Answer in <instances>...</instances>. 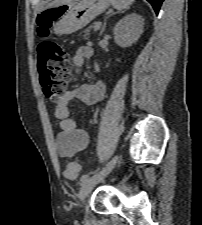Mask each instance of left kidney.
Returning <instances> with one entry per match:
<instances>
[{
    "instance_id": "5707ae66",
    "label": "left kidney",
    "mask_w": 202,
    "mask_h": 225,
    "mask_svg": "<svg viewBox=\"0 0 202 225\" xmlns=\"http://www.w3.org/2000/svg\"><path fill=\"white\" fill-rule=\"evenodd\" d=\"M144 19L132 13L123 17L114 27V39L120 47L133 45L143 33Z\"/></svg>"
}]
</instances>
